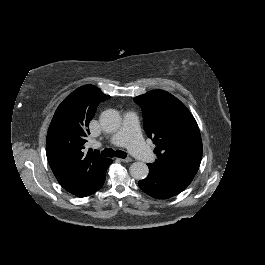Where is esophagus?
<instances>
[{
  "mask_svg": "<svg viewBox=\"0 0 265 265\" xmlns=\"http://www.w3.org/2000/svg\"><path fill=\"white\" fill-rule=\"evenodd\" d=\"M120 161H122V162H125V163H128V162H131L132 161V159L131 158H120Z\"/></svg>",
  "mask_w": 265,
  "mask_h": 265,
  "instance_id": "1",
  "label": "esophagus"
}]
</instances>
